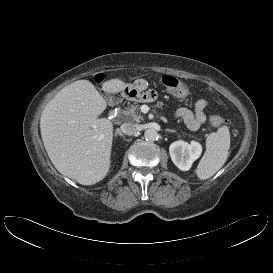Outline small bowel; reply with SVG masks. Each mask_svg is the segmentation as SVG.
I'll use <instances>...</instances> for the list:
<instances>
[{
    "instance_id": "1",
    "label": "small bowel",
    "mask_w": 273,
    "mask_h": 273,
    "mask_svg": "<svg viewBox=\"0 0 273 273\" xmlns=\"http://www.w3.org/2000/svg\"><path fill=\"white\" fill-rule=\"evenodd\" d=\"M207 101L200 99L195 103L194 111L188 108H179L175 111V117L182 119L186 126L192 130H198L207 120L205 110L207 108Z\"/></svg>"
}]
</instances>
